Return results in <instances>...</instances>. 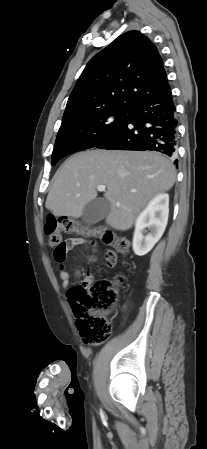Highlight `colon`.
<instances>
[{"instance_id":"obj_1","label":"colon","mask_w":207,"mask_h":449,"mask_svg":"<svg viewBox=\"0 0 207 449\" xmlns=\"http://www.w3.org/2000/svg\"><path fill=\"white\" fill-rule=\"evenodd\" d=\"M62 232L100 239L121 254H127L130 251L129 240L114 234L107 228L86 227L71 219L48 220L44 224V233L48 242L54 246V259L60 265L65 263L68 251L74 247L72 239L61 240ZM105 258L108 265L114 264L111 253H106ZM121 280L122 277L118 276L115 282L83 281L68 290L67 298L72 306L78 330L86 343L97 344L109 338L110 319L114 316L116 309L117 285Z\"/></svg>"}]
</instances>
